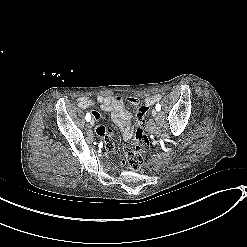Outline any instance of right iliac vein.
<instances>
[{
  "mask_svg": "<svg viewBox=\"0 0 247 247\" xmlns=\"http://www.w3.org/2000/svg\"><path fill=\"white\" fill-rule=\"evenodd\" d=\"M90 124H91V125H93V124H94V121H93V120H91Z\"/></svg>",
  "mask_w": 247,
  "mask_h": 247,
  "instance_id": "63e3f726",
  "label": "right iliac vein"
}]
</instances>
